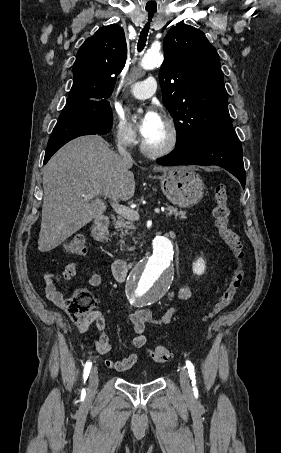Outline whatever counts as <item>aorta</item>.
<instances>
[{
	"label": "aorta",
	"mask_w": 281,
	"mask_h": 453,
	"mask_svg": "<svg viewBox=\"0 0 281 453\" xmlns=\"http://www.w3.org/2000/svg\"><path fill=\"white\" fill-rule=\"evenodd\" d=\"M163 55L159 52H148L141 60L145 70L161 65ZM153 255L141 260L132 269L127 280V292L130 301L138 305H151L161 300L173 282V245L171 241L158 236L153 240Z\"/></svg>",
	"instance_id": "aorta-1"
}]
</instances>
